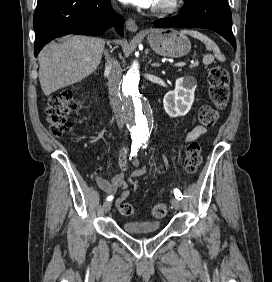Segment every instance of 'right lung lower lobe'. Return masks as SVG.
<instances>
[{
	"mask_svg": "<svg viewBox=\"0 0 272 282\" xmlns=\"http://www.w3.org/2000/svg\"><path fill=\"white\" fill-rule=\"evenodd\" d=\"M115 20L123 34L124 20L111 10L110 0H38L34 13V55L45 44L67 34L100 35Z\"/></svg>",
	"mask_w": 272,
	"mask_h": 282,
	"instance_id": "right-lung-lower-lobe-1",
	"label": "right lung lower lobe"
}]
</instances>
